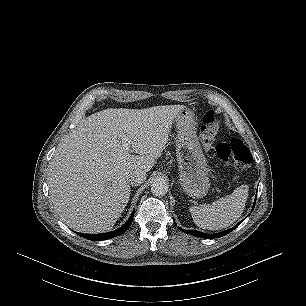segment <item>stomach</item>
<instances>
[{"label":"stomach","instance_id":"1","mask_svg":"<svg viewBox=\"0 0 306 306\" xmlns=\"http://www.w3.org/2000/svg\"><path fill=\"white\" fill-rule=\"evenodd\" d=\"M175 121L179 183L188 196L199 199L208 193L210 182L206 158L196 133V122L192 111L186 107Z\"/></svg>","mask_w":306,"mask_h":306}]
</instances>
